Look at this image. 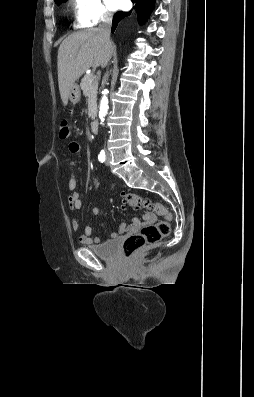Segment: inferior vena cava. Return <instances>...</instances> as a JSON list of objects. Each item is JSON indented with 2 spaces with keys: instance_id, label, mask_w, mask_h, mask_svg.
Wrapping results in <instances>:
<instances>
[{
  "instance_id": "obj_1",
  "label": "inferior vena cava",
  "mask_w": 254,
  "mask_h": 397,
  "mask_svg": "<svg viewBox=\"0 0 254 397\" xmlns=\"http://www.w3.org/2000/svg\"><path fill=\"white\" fill-rule=\"evenodd\" d=\"M111 25H112V18L109 14L105 13L101 20V23L99 24L98 30H99L102 40L105 42L106 45L111 44V41H110ZM108 76H109V73L107 72L106 78H108Z\"/></svg>"
}]
</instances>
